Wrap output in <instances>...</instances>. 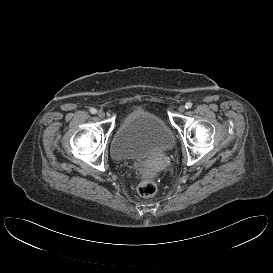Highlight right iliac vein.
<instances>
[{
  "label": "right iliac vein",
  "mask_w": 273,
  "mask_h": 273,
  "mask_svg": "<svg viewBox=\"0 0 273 273\" xmlns=\"http://www.w3.org/2000/svg\"><path fill=\"white\" fill-rule=\"evenodd\" d=\"M98 116H99L100 118H104V117H105L104 111L100 110V111L98 112Z\"/></svg>",
  "instance_id": "right-iliac-vein-1"
}]
</instances>
